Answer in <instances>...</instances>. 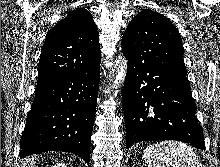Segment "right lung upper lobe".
Instances as JSON below:
<instances>
[{
  "instance_id": "obj_1",
  "label": "right lung upper lobe",
  "mask_w": 220,
  "mask_h": 167,
  "mask_svg": "<svg viewBox=\"0 0 220 167\" xmlns=\"http://www.w3.org/2000/svg\"><path fill=\"white\" fill-rule=\"evenodd\" d=\"M99 33L92 15L75 9L48 33L38 64L37 85L55 81L100 64Z\"/></svg>"
}]
</instances>
